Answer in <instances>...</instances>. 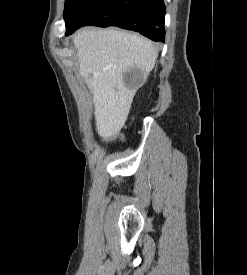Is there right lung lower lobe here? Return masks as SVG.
<instances>
[{
	"label": "right lung lower lobe",
	"mask_w": 247,
	"mask_h": 275,
	"mask_svg": "<svg viewBox=\"0 0 247 275\" xmlns=\"http://www.w3.org/2000/svg\"><path fill=\"white\" fill-rule=\"evenodd\" d=\"M165 10L163 0H102L82 13L66 35L86 25L117 26L163 42Z\"/></svg>",
	"instance_id": "1"
}]
</instances>
